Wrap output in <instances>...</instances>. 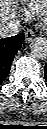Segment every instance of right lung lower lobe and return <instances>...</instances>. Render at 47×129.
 Here are the masks:
<instances>
[{
	"label": "right lung lower lobe",
	"mask_w": 47,
	"mask_h": 129,
	"mask_svg": "<svg viewBox=\"0 0 47 129\" xmlns=\"http://www.w3.org/2000/svg\"><path fill=\"white\" fill-rule=\"evenodd\" d=\"M24 40V33L0 39V84L7 77L11 63Z\"/></svg>",
	"instance_id": "1"
}]
</instances>
